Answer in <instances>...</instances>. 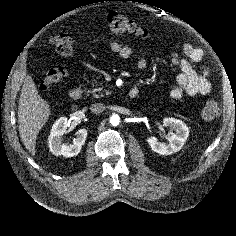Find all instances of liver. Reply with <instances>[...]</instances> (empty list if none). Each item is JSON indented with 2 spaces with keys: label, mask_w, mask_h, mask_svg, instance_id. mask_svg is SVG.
Instances as JSON below:
<instances>
[{
  "label": "liver",
  "mask_w": 236,
  "mask_h": 236,
  "mask_svg": "<svg viewBox=\"0 0 236 236\" xmlns=\"http://www.w3.org/2000/svg\"><path fill=\"white\" fill-rule=\"evenodd\" d=\"M51 114L50 105L39 94L30 75L21 89L18 105V130L25 148L32 156L36 153V139Z\"/></svg>",
  "instance_id": "obj_1"
}]
</instances>
